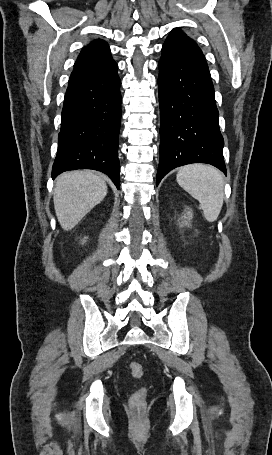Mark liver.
Here are the masks:
<instances>
[{
    "label": "liver",
    "mask_w": 272,
    "mask_h": 455,
    "mask_svg": "<svg viewBox=\"0 0 272 455\" xmlns=\"http://www.w3.org/2000/svg\"><path fill=\"white\" fill-rule=\"evenodd\" d=\"M107 195L105 181L92 171L60 175L53 193L58 222L65 231L73 229Z\"/></svg>",
    "instance_id": "6515ba94"
}]
</instances>
